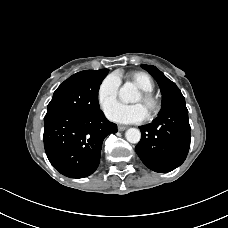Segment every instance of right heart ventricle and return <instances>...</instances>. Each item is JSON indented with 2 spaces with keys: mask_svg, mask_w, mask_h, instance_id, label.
Returning <instances> with one entry per match:
<instances>
[{
  "mask_svg": "<svg viewBox=\"0 0 228 228\" xmlns=\"http://www.w3.org/2000/svg\"><path fill=\"white\" fill-rule=\"evenodd\" d=\"M129 77L142 91H154V82L148 74L144 72H133Z\"/></svg>",
  "mask_w": 228,
  "mask_h": 228,
  "instance_id": "right-heart-ventricle-1",
  "label": "right heart ventricle"
}]
</instances>
